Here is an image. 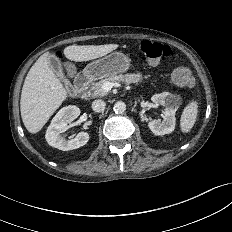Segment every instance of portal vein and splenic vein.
Wrapping results in <instances>:
<instances>
[{"instance_id":"portal-vein-and-splenic-vein-1","label":"portal vein and splenic vein","mask_w":232,"mask_h":232,"mask_svg":"<svg viewBox=\"0 0 232 232\" xmlns=\"http://www.w3.org/2000/svg\"><path fill=\"white\" fill-rule=\"evenodd\" d=\"M118 86H120V84H118V83H114V82H106L104 85H103V89L106 91V92H108V91H110L111 89H112V87H118Z\"/></svg>"}]
</instances>
